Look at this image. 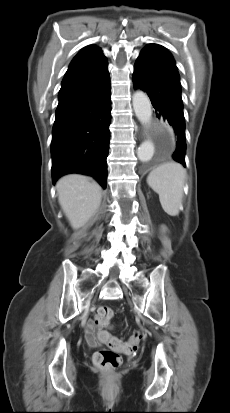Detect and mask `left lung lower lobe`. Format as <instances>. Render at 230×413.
Instances as JSON below:
<instances>
[{
    "label": "left lung lower lobe",
    "mask_w": 230,
    "mask_h": 413,
    "mask_svg": "<svg viewBox=\"0 0 230 413\" xmlns=\"http://www.w3.org/2000/svg\"><path fill=\"white\" fill-rule=\"evenodd\" d=\"M133 85L147 92L158 118L173 127L176 149L172 157L185 166V119L175 62L158 47L147 45L134 65Z\"/></svg>",
    "instance_id": "obj_1"
}]
</instances>
